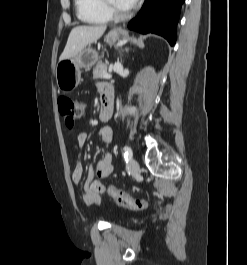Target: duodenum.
<instances>
[{
	"label": "duodenum",
	"mask_w": 247,
	"mask_h": 265,
	"mask_svg": "<svg viewBox=\"0 0 247 265\" xmlns=\"http://www.w3.org/2000/svg\"><path fill=\"white\" fill-rule=\"evenodd\" d=\"M112 101H113V94L111 89H106L102 91V109L99 115L102 121H107L111 118Z\"/></svg>",
	"instance_id": "1"
}]
</instances>
